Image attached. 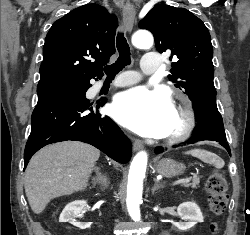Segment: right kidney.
I'll return each mask as SVG.
<instances>
[{
    "instance_id": "right-kidney-1",
    "label": "right kidney",
    "mask_w": 250,
    "mask_h": 235,
    "mask_svg": "<svg viewBox=\"0 0 250 235\" xmlns=\"http://www.w3.org/2000/svg\"><path fill=\"white\" fill-rule=\"evenodd\" d=\"M87 202L85 200H76L65 206L62 213L60 214V222H69L70 224L80 228L86 229L91 226V223L77 222V217H82V210L86 206Z\"/></svg>"
}]
</instances>
